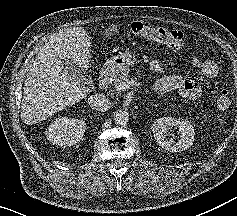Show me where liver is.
I'll return each mask as SVG.
<instances>
[{"instance_id":"6515ba94","label":"liver","mask_w":237,"mask_h":216,"mask_svg":"<svg viewBox=\"0 0 237 216\" xmlns=\"http://www.w3.org/2000/svg\"><path fill=\"white\" fill-rule=\"evenodd\" d=\"M92 47V38L83 26L70 27L45 42L40 61L31 68L24 83L25 124L40 123L91 94L93 88L81 79L83 73L90 71Z\"/></svg>"}]
</instances>
